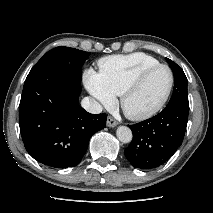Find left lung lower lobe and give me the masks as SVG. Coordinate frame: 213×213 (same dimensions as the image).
I'll return each instance as SVG.
<instances>
[{"mask_svg":"<svg viewBox=\"0 0 213 213\" xmlns=\"http://www.w3.org/2000/svg\"><path fill=\"white\" fill-rule=\"evenodd\" d=\"M189 105L170 102L158 115L129 125L133 133L124 154L135 168L151 169L165 163L182 144Z\"/></svg>","mask_w":213,"mask_h":213,"instance_id":"left-lung-lower-lobe-1","label":"left lung lower lobe"}]
</instances>
